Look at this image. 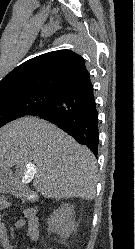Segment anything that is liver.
<instances>
[{"instance_id": "obj_1", "label": "liver", "mask_w": 135, "mask_h": 249, "mask_svg": "<svg viewBox=\"0 0 135 249\" xmlns=\"http://www.w3.org/2000/svg\"><path fill=\"white\" fill-rule=\"evenodd\" d=\"M28 162L35 164L33 186L42 196L95 198L98 168L92 152L57 126L29 116L0 128V169Z\"/></svg>"}]
</instances>
